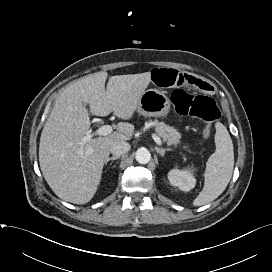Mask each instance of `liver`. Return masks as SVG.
Listing matches in <instances>:
<instances>
[{
	"label": "liver",
	"instance_id": "liver-1",
	"mask_svg": "<svg viewBox=\"0 0 272 272\" xmlns=\"http://www.w3.org/2000/svg\"><path fill=\"white\" fill-rule=\"evenodd\" d=\"M107 72L90 74L69 85L58 96L40 137L39 163L42 174L62 200L86 204L95 195L101 181L103 165L116 142L128 141L134 125L120 122L117 131L81 139L90 128V113L107 116L111 112L129 120L137 110L140 97L151 81V72L116 75Z\"/></svg>",
	"mask_w": 272,
	"mask_h": 272
}]
</instances>
